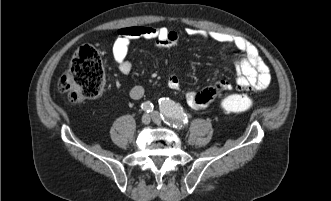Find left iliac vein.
<instances>
[{
	"instance_id": "1",
	"label": "left iliac vein",
	"mask_w": 331,
	"mask_h": 201,
	"mask_svg": "<svg viewBox=\"0 0 331 201\" xmlns=\"http://www.w3.org/2000/svg\"><path fill=\"white\" fill-rule=\"evenodd\" d=\"M151 116H152V119L155 123L159 124L161 122V117H160V114L158 112H156V111L153 112L151 114Z\"/></svg>"
}]
</instances>
